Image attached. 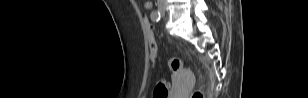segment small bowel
<instances>
[{
    "label": "small bowel",
    "mask_w": 308,
    "mask_h": 98,
    "mask_svg": "<svg viewBox=\"0 0 308 98\" xmlns=\"http://www.w3.org/2000/svg\"><path fill=\"white\" fill-rule=\"evenodd\" d=\"M152 5H153L152 1H144V7H145L146 9L152 8ZM148 24H149V23H148Z\"/></svg>",
    "instance_id": "c3829d8e"
}]
</instances>
